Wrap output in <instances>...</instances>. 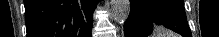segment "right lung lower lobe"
Segmentation results:
<instances>
[{
	"mask_svg": "<svg viewBox=\"0 0 219 37\" xmlns=\"http://www.w3.org/2000/svg\"><path fill=\"white\" fill-rule=\"evenodd\" d=\"M97 0H24L27 37H91Z\"/></svg>",
	"mask_w": 219,
	"mask_h": 37,
	"instance_id": "98d812e1",
	"label": "right lung lower lobe"
}]
</instances>
